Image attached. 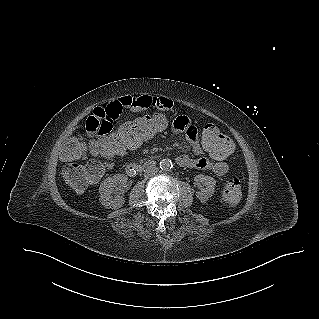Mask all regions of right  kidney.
<instances>
[{"label": "right kidney", "mask_w": 319, "mask_h": 319, "mask_svg": "<svg viewBox=\"0 0 319 319\" xmlns=\"http://www.w3.org/2000/svg\"><path fill=\"white\" fill-rule=\"evenodd\" d=\"M128 177L124 174H116L106 178L99 187L100 202L108 209H118L123 206L125 200L122 196Z\"/></svg>", "instance_id": "1"}]
</instances>
